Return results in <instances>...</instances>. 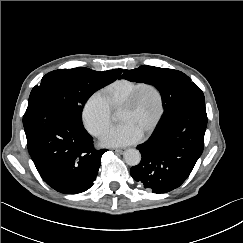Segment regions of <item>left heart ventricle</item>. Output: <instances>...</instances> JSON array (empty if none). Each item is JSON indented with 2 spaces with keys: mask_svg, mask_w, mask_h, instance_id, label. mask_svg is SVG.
<instances>
[{
  "mask_svg": "<svg viewBox=\"0 0 243 243\" xmlns=\"http://www.w3.org/2000/svg\"><path fill=\"white\" fill-rule=\"evenodd\" d=\"M159 110L158 95L152 88L144 89L138 99L137 105L126 111H120L121 123H128L144 134L155 121Z\"/></svg>",
  "mask_w": 243,
  "mask_h": 243,
  "instance_id": "b2bd125f",
  "label": "left heart ventricle"
}]
</instances>
